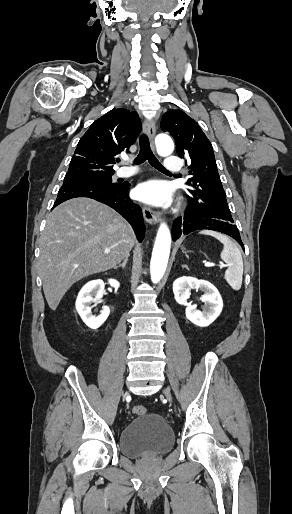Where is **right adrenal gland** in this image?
I'll use <instances>...</instances> for the list:
<instances>
[{"label":"right adrenal gland","instance_id":"2a0ac1e0","mask_svg":"<svg viewBox=\"0 0 292 514\" xmlns=\"http://www.w3.org/2000/svg\"><path fill=\"white\" fill-rule=\"evenodd\" d=\"M128 258H129V256H127V258H125L123 264H119V266H116L115 270H117V268H125V266L128 262Z\"/></svg>","mask_w":292,"mask_h":514}]
</instances>
